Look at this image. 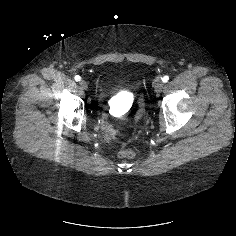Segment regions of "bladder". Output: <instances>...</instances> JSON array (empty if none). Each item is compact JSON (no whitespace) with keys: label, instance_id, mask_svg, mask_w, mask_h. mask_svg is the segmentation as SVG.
Returning a JSON list of instances; mask_svg holds the SVG:
<instances>
[{"label":"bladder","instance_id":"1","mask_svg":"<svg viewBox=\"0 0 236 236\" xmlns=\"http://www.w3.org/2000/svg\"><path fill=\"white\" fill-rule=\"evenodd\" d=\"M133 95L127 90L120 91L114 95L110 100V108L112 110L121 109L131 104Z\"/></svg>","mask_w":236,"mask_h":236}]
</instances>
